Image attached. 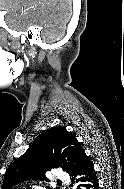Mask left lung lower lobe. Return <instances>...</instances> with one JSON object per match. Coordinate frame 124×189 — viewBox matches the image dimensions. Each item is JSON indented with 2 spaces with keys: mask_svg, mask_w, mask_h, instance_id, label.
<instances>
[{
  "mask_svg": "<svg viewBox=\"0 0 124 189\" xmlns=\"http://www.w3.org/2000/svg\"><path fill=\"white\" fill-rule=\"evenodd\" d=\"M73 182L79 183L77 189H99L98 177L90 158L85 155L80 167L71 174Z\"/></svg>",
  "mask_w": 124,
  "mask_h": 189,
  "instance_id": "obj_1",
  "label": "left lung lower lobe"
}]
</instances>
